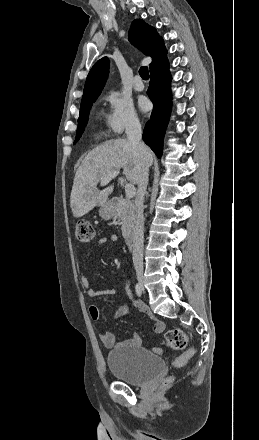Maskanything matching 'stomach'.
Wrapping results in <instances>:
<instances>
[{
  "label": "stomach",
  "mask_w": 259,
  "mask_h": 440,
  "mask_svg": "<svg viewBox=\"0 0 259 440\" xmlns=\"http://www.w3.org/2000/svg\"><path fill=\"white\" fill-rule=\"evenodd\" d=\"M99 215L104 220L113 218L115 216V207L113 203L108 202L104 204L99 210Z\"/></svg>",
  "instance_id": "0dacf381"
}]
</instances>
